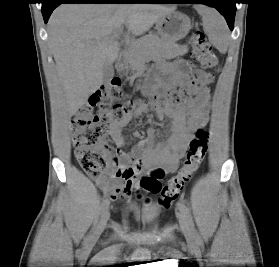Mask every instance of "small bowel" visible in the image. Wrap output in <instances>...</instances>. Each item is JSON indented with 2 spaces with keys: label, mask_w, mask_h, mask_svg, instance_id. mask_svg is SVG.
I'll use <instances>...</instances> for the list:
<instances>
[{
  "label": "small bowel",
  "mask_w": 279,
  "mask_h": 267,
  "mask_svg": "<svg viewBox=\"0 0 279 267\" xmlns=\"http://www.w3.org/2000/svg\"><path fill=\"white\" fill-rule=\"evenodd\" d=\"M162 75L160 77L159 75ZM190 64L185 60H174L172 62L159 63L157 66V77L155 83L146 87L147 91L153 94L178 87L186 86L189 82ZM210 101V90L204 88L197 95L180 105L162 104L157 110L159 118L170 119L168 134L166 139L154 145V140L158 135L155 128H149L147 137L134 146L132 155L120 151L119 155L109 159L111 166L116 163H129L135 158L134 166H144L160 170L162 175L174 172L183 157L189 141L193 138L194 132L204 124L206 111ZM147 112V108L138 103L136 108L129 112L121 121L111 124L110 134L113 141L119 146L125 145L123 128L129 122ZM134 138H140L139 132L133 133ZM139 172L128 179L117 178L110 173L98 179V184L102 190L112 200H119L128 197L137 186V176Z\"/></svg>",
  "instance_id": "1"
}]
</instances>
